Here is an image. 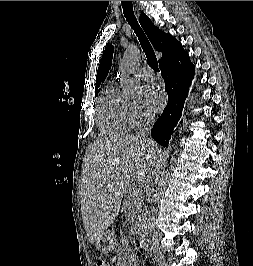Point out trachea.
<instances>
[{"instance_id":"1","label":"trachea","mask_w":253,"mask_h":266,"mask_svg":"<svg viewBox=\"0 0 253 266\" xmlns=\"http://www.w3.org/2000/svg\"><path fill=\"white\" fill-rule=\"evenodd\" d=\"M122 7H123V13L126 17V20L131 25V27L134 29V32L138 36V39L140 41L141 47L143 51L145 52V55L147 57V62L149 66L156 72H159L158 68V62L155 55V52L147 39L146 35L144 34L143 30L140 28L137 19L133 12V6L132 1H121Z\"/></svg>"}]
</instances>
